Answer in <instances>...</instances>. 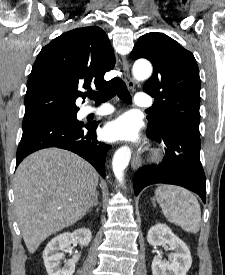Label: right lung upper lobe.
I'll return each instance as SVG.
<instances>
[{
    "label": "right lung upper lobe",
    "mask_w": 225,
    "mask_h": 275,
    "mask_svg": "<svg viewBox=\"0 0 225 275\" xmlns=\"http://www.w3.org/2000/svg\"><path fill=\"white\" fill-rule=\"evenodd\" d=\"M115 55L105 32L95 26L66 32L38 54L27 82L24 117L78 110V88H103Z\"/></svg>",
    "instance_id": "obj_1"
}]
</instances>
